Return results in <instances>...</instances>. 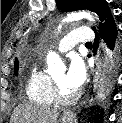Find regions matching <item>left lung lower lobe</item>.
Masks as SVG:
<instances>
[{
  "label": "left lung lower lobe",
  "instance_id": "left-lung-lower-lobe-1",
  "mask_svg": "<svg viewBox=\"0 0 122 123\" xmlns=\"http://www.w3.org/2000/svg\"><path fill=\"white\" fill-rule=\"evenodd\" d=\"M100 33L101 38H103L104 41L107 43L109 50L108 66L104 79L103 93V97H107V95L116 84L120 59L122 56V40L118 35L117 27L111 14L108 15V17L100 27ZM98 41L99 36L97 35V38L94 42V50H96L98 46Z\"/></svg>",
  "mask_w": 122,
  "mask_h": 123
}]
</instances>
